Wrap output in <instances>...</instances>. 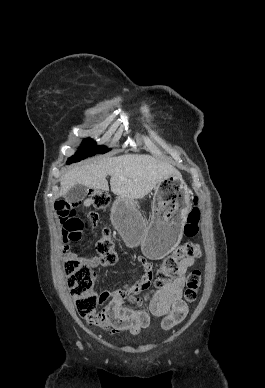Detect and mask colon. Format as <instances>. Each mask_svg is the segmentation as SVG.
Listing matches in <instances>:
<instances>
[{
	"mask_svg": "<svg viewBox=\"0 0 265 388\" xmlns=\"http://www.w3.org/2000/svg\"><path fill=\"white\" fill-rule=\"evenodd\" d=\"M91 204L97 209H105L110 202L109 195L104 191H93L89 198ZM196 202V199H195ZM55 210L63 226V238L67 243H75L80 240L83 223L75 215L74 204L68 201H57ZM200 211L194 207L187 218L184 226V234L193 237L199 232ZM97 251L101 256V262L106 266L115 265L119 256L115 250L112 232L110 229L103 230L102 238L97 243ZM201 250L196 243H185L177 247L170 255L166 256L156 272L154 281L155 288L162 289L167 286L174 273L178 271L179 264L185 259L197 258ZM64 269L68 281V287L73 296L75 307L79 315L92 324L100 325L104 321V315L97 310L100 304V296L95 290L96 273L87 264L83 263L75 255L65 261ZM201 285V273L194 270L187 279L184 299L193 303L198 295ZM135 304H141L142 299L130 293V287L124 289Z\"/></svg>",
	"mask_w": 265,
	"mask_h": 388,
	"instance_id": "colon-1",
	"label": "colon"
}]
</instances>
